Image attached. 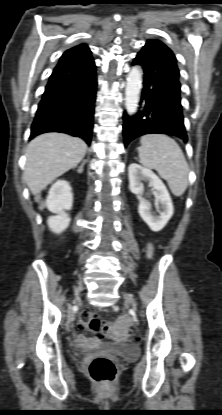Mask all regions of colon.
<instances>
[{"mask_svg":"<svg viewBox=\"0 0 222 415\" xmlns=\"http://www.w3.org/2000/svg\"><path fill=\"white\" fill-rule=\"evenodd\" d=\"M78 325L81 331H88L97 336H108L114 340L138 337L137 329L127 330L119 322L107 323L98 314L89 312H83L80 315ZM88 372L97 382H110L115 377L116 366L110 358L96 357L90 362Z\"/></svg>","mask_w":222,"mask_h":415,"instance_id":"5ec220e1","label":"colon"}]
</instances>
